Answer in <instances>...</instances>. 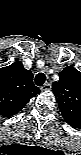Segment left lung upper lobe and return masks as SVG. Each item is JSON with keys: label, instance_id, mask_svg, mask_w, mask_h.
<instances>
[{"label": "left lung upper lobe", "instance_id": "1", "mask_svg": "<svg viewBox=\"0 0 81 155\" xmlns=\"http://www.w3.org/2000/svg\"><path fill=\"white\" fill-rule=\"evenodd\" d=\"M59 81L53 83L60 111L69 125L81 127V72L72 66L65 67Z\"/></svg>", "mask_w": 81, "mask_h": 155}]
</instances>
